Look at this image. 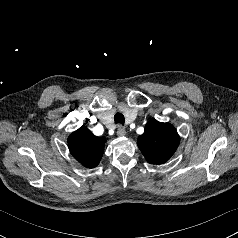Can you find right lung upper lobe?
Here are the masks:
<instances>
[{
    "mask_svg": "<svg viewBox=\"0 0 238 238\" xmlns=\"http://www.w3.org/2000/svg\"><path fill=\"white\" fill-rule=\"evenodd\" d=\"M104 137L95 136L86 126H81L68 138V147L72 156L83 166L96 167L104 153Z\"/></svg>",
    "mask_w": 238,
    "mask_h": 238,
    "instance_id": "1",
    "label": "right lung upper lobe"
}]
</instances>
